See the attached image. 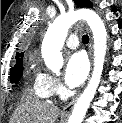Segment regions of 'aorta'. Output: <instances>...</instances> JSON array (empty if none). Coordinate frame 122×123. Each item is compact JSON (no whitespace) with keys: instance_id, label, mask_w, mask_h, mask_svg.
<instances>
[{"instance_id":"aorta-1","label":"aorta","mask_w":122,"mask_h":123,"mask_svg":"<svg viewBox=\"0 0 122 123\" xmlns=\"http://www.w3.org/2000/svg\"><path fill=\"white\" fill-rule=\"evenodd\" d=\"M87 22L94 39V69L91 79L74 106L69 123H82L86 111L99 86L107 50V32L101 18L93 10L80 9L57 17L50 25L42 44V57L45 65L58 74L63 66L62 46L69 28L78 20Z\"/></svg>"}]
</instances>
